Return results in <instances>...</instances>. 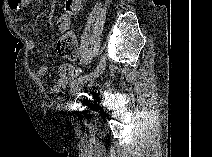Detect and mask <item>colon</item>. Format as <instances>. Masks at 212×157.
<instances>
[{
    "label": "colon",
    "instance_id": "obj_1",
    "mask_svg": "<svg viewBox=\"0 0 212 157\" xmlns=\"http://www.w3.org/2000/svg\"><path fill=\"white\" fill-rule=\"evenodd\" d=\"M56 48L60 57L70 61H76L79 51L74 31L67 30L63 32L57 40Z\"/></svg>",
    "mask_w": 212,
    "mask_h": 157
}]
</instances>
